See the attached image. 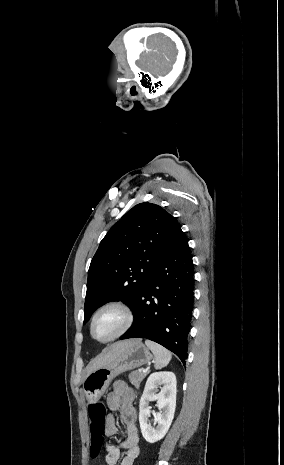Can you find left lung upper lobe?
Listing matches in <instances>:
<instances>
[{"label":"left lung upper lobe","instance_id":"1","mask_svg":"<svg viewBox=\"0 0 284 465\" xmlns=\"http://www.w3.org/2000/svg\"><path fill=\"white\" fill-rule=\"evenodd\" d=\"M177 220L156 204L130 209L100 242L88 271L84 323L109 300L133 306L155 266L175 243Z\"/></svg>","mask_w":284,"mask_h":465}]
</instances>
